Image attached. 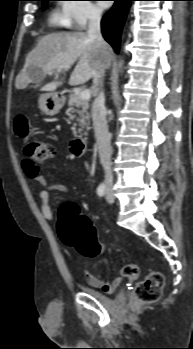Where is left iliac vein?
Listing matches in <instances>:
<instances>
[{"label":"left iliac vein","instance_id":"4c4485c4","mask_svg":"<svg viewBox=\"0 0 193 349\" xmlns=\"http://www.w3.org/2000/svg\"><path fill=\"white\" fill-rule=\"evenodd\" d=\"M114 193H113V190L112 189H108L107 190V193H106V200L110 203L114 202Z\"/></svg>","mask_w":193,"mask_h":349}]
</instances>
